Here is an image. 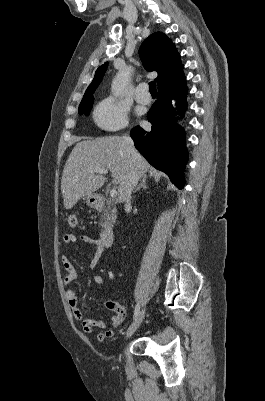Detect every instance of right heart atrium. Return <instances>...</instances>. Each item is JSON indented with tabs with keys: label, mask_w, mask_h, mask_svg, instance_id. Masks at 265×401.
I'll use <instances>...</instances> for the list:
<instances>
[{
	"label": "right heart atrium",
	"mask_w": 265,
	"mask_h": 401,
	"mask_svg": "<svg viewBox=\"0 0 265 401\" xmlns=\"http://www.w3.org/2000/svg\"><path fill=\"white\" fill-rule=\"evenodd\" d=\"M95 122L109 131H120L127 128L128 109L122 101L115 96L102 99L94 108Z\"/></svg>",
	"instance_id": "d8ad5b80"
}]
</instances>
